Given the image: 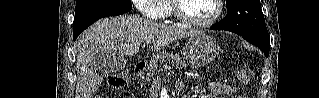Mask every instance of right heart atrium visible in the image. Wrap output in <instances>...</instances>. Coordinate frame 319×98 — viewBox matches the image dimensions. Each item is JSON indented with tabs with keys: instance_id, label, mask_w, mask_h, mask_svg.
Returning a JSON list of instances; mask_svg holds the SVG:
<instances>
[{
	"instance_id": "d8ad5b80",
	"label": "right heart atrium",
	"mask_w": 319,
	"mask_h": 98,
	"mask_svg": "<svg viewBox=\"0 0 319 98\" xmlns=\"http://www.w3.org/2000/svg\"><path fill=\"white\" fill-rule=\"evenodd\" d=\"M161 1L158 0H135L134 3L138 10L148 18L151 19H160L164 15L161 8L158 7V4Z\"/></svg>"
}]
</instances>
